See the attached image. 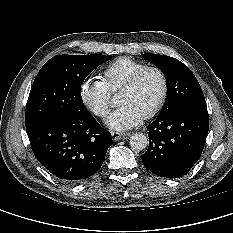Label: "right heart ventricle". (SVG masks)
<instances>
[{"label": "right heart ventricle", "instance_id": "1", "mask_svg": "<svg viewBox=\"0 0 233 233\" xmlns=\"http://www.w3.org/2000/svg\"><path fill=\"white\" fill-rule=\"evenodd\" d=\"M147 66L144 62L129 57H120L104 68L101 74L102 81L109 91L116 92L133 74Z\"/></svg>", "mask_w": 233, "mask_h": 233}]
</instances>
